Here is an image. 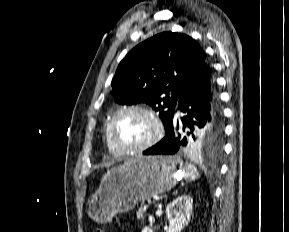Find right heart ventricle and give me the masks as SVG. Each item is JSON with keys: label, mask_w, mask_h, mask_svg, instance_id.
I'll use <instances>...</instances> for the list:
<instances>
[{"label": "right heart ventricle", "mask_w": 289, "mask_h": 232, "mask_svg": "<svg viewBox=\"0 0 289 232\" xmlns=\"http://www.w3.org/2000/svg\"><path fill=\"white\" fill-rule=\"evenodd\" d=\"M109 121H107V123L105 124V127H104V138H105L106 146L112 154L121 155L122 152H120L118 149H116L110 141L109 134H108Z\"/></svg>", "instance_id": "obj_1"}]
</instances>
